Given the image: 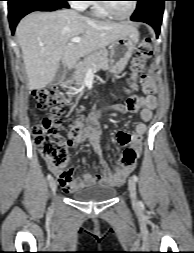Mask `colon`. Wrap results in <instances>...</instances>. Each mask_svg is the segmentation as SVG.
Returning a JSON list of instances; mask_svg holds the SVG:
<instances>
[{
  "mask_svg": "<svg viewBox=\"0 0 194 253\" xmlns=\"http://www.w3.org/2000/svg\"><path fill=\"white\" fill-rule=\"evenodd\" d=\"M152 55V44L149 38L139 43L136 55L132 61V71L135 76L144 66V62ZM134 89L136 85L133 83ZM32 99L42 110L50 109V113L39 120L34 125L36 144L42 158L57 169H62L67 165L68 152L67 141L79 135L81 128L77 122L71 126L67 133V138L63 135V127L59 115L61 111L56 107L59 101L57 90L52 86L34 90L31 94ZM137 160V153L133 149H126L120 160V167H129Z\"/></svg>",
  "mask_w": 194,
  "mask_h": 253,
  "instance_id": "5ec220e1",
  "label": "colon"
}]
</instances>
